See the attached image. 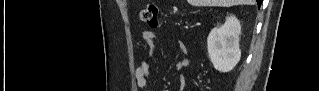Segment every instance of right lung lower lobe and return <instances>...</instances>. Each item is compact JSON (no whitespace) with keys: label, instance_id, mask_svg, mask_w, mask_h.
Returning <instances> with one entry per match:
<instances>
[{"label":"right lung lower lobe","instance_id":"98d812e1","mask_svg":"<svg viewBox=\"0 0 319 91\" xmlns=\"http://www.w3.org/2000/svg\"><path fill=\"white\" fill-rule=\"evenodd\" d=\"M262 0H257L258 7H260Z\"/></svg>","mask_w":319,"mask_h":91}]
</instances>
